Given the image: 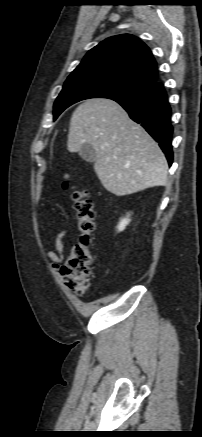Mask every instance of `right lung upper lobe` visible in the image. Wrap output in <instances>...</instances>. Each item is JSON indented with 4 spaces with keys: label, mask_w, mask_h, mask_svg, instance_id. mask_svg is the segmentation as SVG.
Wrapping results in <instances>:
<instances>
[{
    "label": "right lung upper lobe",
    "mask_w": 202,
    "mask_h": 437,
    "mask_svg": "<svg viewBox=\"0 0 202 437\" xmlns=\"http://www.w3.org/2000/svg\"><path fill=\"white\" fill-rule=\"evenodd\" d=\"M98 70L127 75L155 84L157 64L150 49L137 37H109L92 48L73 72Z\"/></svg>",
    "instance_id": "cb5924a9"
}]
</instances>
